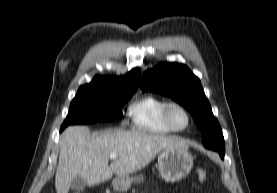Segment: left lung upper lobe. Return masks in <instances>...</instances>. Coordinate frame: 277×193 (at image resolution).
Returning a JSON list of instances; mask_svg holds the SVG:
<instances>
[{"mask_svg": "<svg viewBox=\"0 0 277 193\" xmlns=\"http://www.w3.org/2000/svg\"><path fill=\"white\" fill-rule=\"evenodd\" d=\"M140 87L142 91L171 97L184 106L199 126L204 146L218 151L220 157L224 158L221 127L212 113L200 80L188 67L178 63H161L144 73Z\"/></svg>", "mask_w": 277, "mask_h": 193, "instance_id": "5c2ea615", "label": "left lung upper lobe"}]
</instances>
